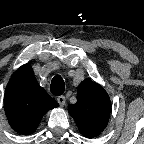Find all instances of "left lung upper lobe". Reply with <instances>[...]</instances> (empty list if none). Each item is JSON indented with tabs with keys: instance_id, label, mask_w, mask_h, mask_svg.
Instances as JSON below:
<instances>
[{
	"instance_id": "1",
	"label": "left lung upper lobe",
	"mask_w": 144,
	"mask_h": 144,
	"mask_svg": "<svg viewBox=\"0 0 144 144\" xmlns=\"http://www.w3.org/2000/svg\"><path fill=\"white\" fill-rule=\"evenodd\" d=\"M76 104L68 106L79 131L87 138L98 136L109 121L111 103L106 91L90 79H85L77 89Z\"/></svg>"
}]
</instances>
